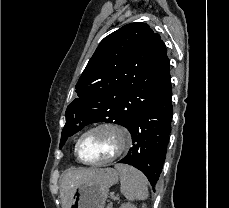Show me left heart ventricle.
I'll return each instance as SVG.
<instances>
[{"label":"left heart ventricle","mask_w":229,"mask_h":208,"mask_svg":"<svg viewBox=\"0 0 229 208\" xmlns=\"http://www.w3.org/2000/svg\"><path fill=\"white\" fill-rule=\"evenodd\" d=\"M98 130H114L110 128H101ZM89 132L84 136L81 142L83 157L87 160H102L116 154L121 147H115L110 135H94L92 139Z\"/></svg>","instance_id":"left-heart-ventricle-1"}]
</instances>
